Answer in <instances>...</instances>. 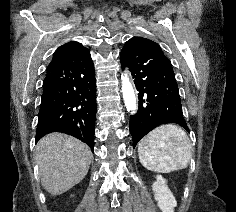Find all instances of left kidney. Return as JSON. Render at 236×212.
<instances>
[{
  "mask_svg": "<svg viewBox=\"0 0 236 212\" xmlns=\"http://www.w3.org/2000/svg\"><path fill=\"white\" fill-rule=\"evenodd\" d=\"M152 189L162 212H174V207L177 204L175 197L166 185V180L161 175L156 176V182H154Z\"/></svg>",
  "mask_w": 236,
  "mask_h": 212,
  "instance_id": "5707ae66",
  "label": "left kidney"
}]
</instances>
